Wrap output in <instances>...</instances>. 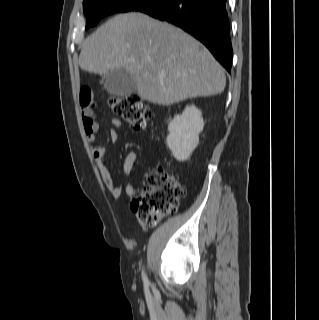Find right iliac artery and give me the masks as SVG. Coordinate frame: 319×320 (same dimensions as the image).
Wrapping results in <instances>:
<instances>
[{
	"label": "right iliac artery",
	"mask_w": 319,
	"mask_h": 320,
	"mask_svg": "<svg viewBox=\"0 0 319 320\" xmlns=\"http://www.w3.org/2000/svg\"><path fill=\"white\" fill-rule=\"evenodd\" d=\"M142 277H143L144 285L147 287L149 285V281H148L147 276L145 275L144 272L142 273Z\"/></svg>",
	"instance_id": "82829eb1"
}]
</instances>
